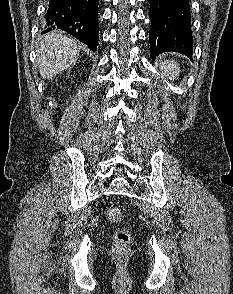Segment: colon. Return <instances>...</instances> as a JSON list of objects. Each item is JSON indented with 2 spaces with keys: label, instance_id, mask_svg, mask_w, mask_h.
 <instances>
[{
  "label": "colon",
  "instance_id": "obj_1",
  "mask_svg": "<svg viewBox=\"0 0 233 294\" xmlns=\"http://www.w3.org/2000/svg\"><path fill=\"white\" fill-rule=\"evenodd\" d=\"M107 218L112 223H119L122 220V211L117 207L109 208ZM131 241V236L128 230L120 229L116 232L114 238V250L122 256L127 253Z\"/></svg>",
  "mask_w": 233,
  "mask_h": 294
}]
</instances>
